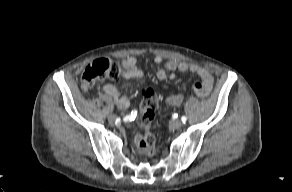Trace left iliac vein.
I'll list each match as a JSON object with an SVG mask.
<instances>
[{"label": "left iliac vein", "mask_w": 292, "mask_h": 192, "mask_svg": "<svg viewBox=\"0 0 292 192\" xmlns=\"http://www.w3.org/2000/svg\"><path fill=\"white\" fill-rule=\"evenodd\" d=\"M170 125L173 129H179L182 126V123L180 120H173Z\"/></svg>", "instance_id": "left-iliac-vein-1"}]
</instances>
